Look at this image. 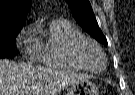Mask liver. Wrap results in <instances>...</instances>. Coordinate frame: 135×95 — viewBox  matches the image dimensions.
Returning a JSON list of instances; mask_svg holds the SVG:
<instances>
[{"mask_svg":"<svg viewBox=\"0 0 135 95\" xmlns=\"http://www.w3.org/2000/svg\"><path fill=\"white\" fill-rule=\"evenodd\" d=\"M88 78L85 74L0 60V95H57Z\"/></svg>","mask_w":135,"mask_h":95,"instance_id":"6515ba94","label":"liver"}]
</instances>
